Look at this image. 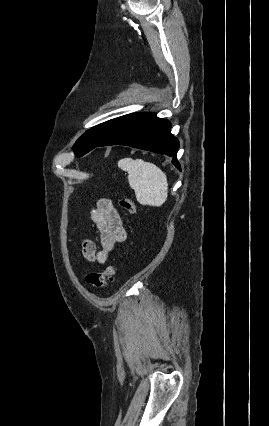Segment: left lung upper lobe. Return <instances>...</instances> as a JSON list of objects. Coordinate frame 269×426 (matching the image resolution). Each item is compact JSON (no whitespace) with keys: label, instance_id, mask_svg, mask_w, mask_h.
<instances>
[{"label":"left lung upper lobe","instance_id":"obj_1","mask_svg":"<svg viewBox=\"0 0 269 426\" xmlns=\"http://www.w3.org/2000/svg\"><path fill=\"white\" fill-rule=\"evenodd\" d=\"M116 119L101 123L86 131L74 144L73 150L77 157L83 156L97 147L105 138Z\"/></svg>","mask_w":269,"mask_h":426}]
</instances>
